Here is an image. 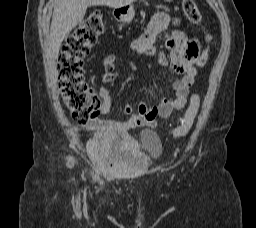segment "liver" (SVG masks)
I'll list each match as a JSON object with an SVG mask.
<instances>
[{"label": "liver", "instance_id": "obj_1", "mask_svg": "<svg viewBox=\"0 0 256 228\" xmlns=\"http://www.w3.org/2000/svg\"><path fill=\"white\" fill-rule=\"evenodd\" d=\"M133 1L135 0H55L49 35L52 57H58L63 40L82 22L88 6L106 5L120 8Z\"/></svg>", "mask_w": 256, "mask_h": 228}]
</instances>
